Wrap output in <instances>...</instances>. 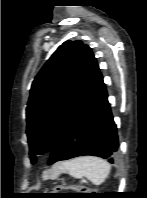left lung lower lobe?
<instances>
[{"instance_id": "1", "label": "left lung lower lobe", "mask_w": 147, "mask_h": 198, "mask_svg": "<svg viewBox=\"0 0 147 198\" xmlns=\"http://www.w3.org/2000/svg\"><path fill=\"white\" fill-rule=\"evenodd\" d=\"M118 147L117 128L98 70L87 97L54 145L48 164L84 155L102 157L113 163Z\"/></svg>"}]
</instances>
